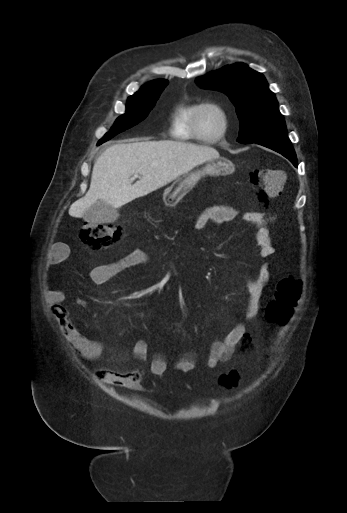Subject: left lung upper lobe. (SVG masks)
<instances>
[{
  "label": "left lung upper lobe",
  "mask_w": 347,
  "mask_h": 513,
  "mask_svg": "<svg viewBox=\"0 0 347 513\" xmlns=\"http://www.w3.org/2000/svg\"><path fill=\"white\" fill-rule=\"evenodd\" d=\"M201 87L224 92L240 120L238 141L244 144L286 136V125L264 76L243 63L225 66L196 79Z\"/></svg>",
  "instance_id": "5c2ea615"
}]
</instances>
